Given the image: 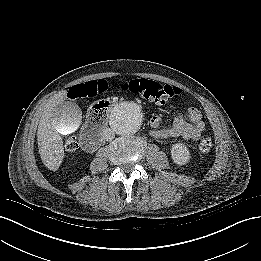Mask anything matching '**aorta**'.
I'll return each mask as SVG.
<instances>
[{
	"label": "aorta",
	"mask_w": 261,
	"mask_h": 261,
	"mask_svg": "<svg viewBox=\"0 0 261 261\" xmlns=\"http://www.w3.org/2000/svg\"><path fill=\"white\" fill-rule=\"evenodd\" d=\"M143 119V112L137 103L122 102L111 111L110 126L119 135H130L139 130Z\"/></svg>",
	"instance_id": "obj_1"
}]
</instances>
